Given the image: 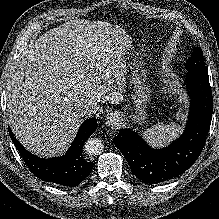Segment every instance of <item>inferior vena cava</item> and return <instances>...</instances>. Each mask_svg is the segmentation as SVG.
<instances>
[{
	"label": "inferior vena cava",
	"mask_w": 219,
	"mask_h": 219,
	"mask_svg": "<svg viewBox=\"0 0 219 219\" xmlns=\"http://www.w3.org/2000/svg\"><path fill=\"white\" fill-rule=\"evenodd\" d=\"M78 113L81 117H91L96 114V110L88 105H79Z\"/></svg>",
	"instance_id": "obj_1"
}]
</instances>
